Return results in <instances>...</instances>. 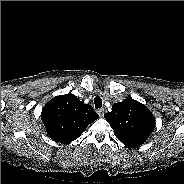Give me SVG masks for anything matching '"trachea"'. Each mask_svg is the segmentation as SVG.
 Listing matches in <instances>:
<instances>
[{"mask_svg":"<svg viewBox=\"0 0 184 184\" xmlns=\"http://www.w3.org/2000/svg\"><path fill=\"white\" fill-rule=\"evenodd\" d=\"M94 104H95V108H101L102 107V99L100 97H95L94 98Z\"/></svg>","mask_w":184,"mask_h":184,"instance_id":"trachea-1","label":"trachea"}]
</instances>
